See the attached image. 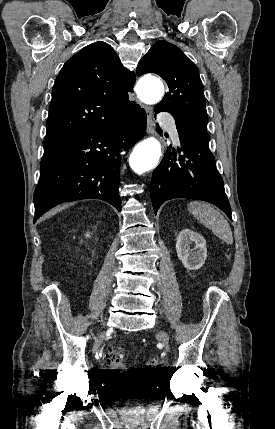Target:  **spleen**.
<instances>
[{
	"mask_svg": "<svg viewBox=\"0 0 275 429\" xmlns=\"http://www.w3.org/2000/svg\"><path fill=\"white\" fill-rule=\"evenodd\" d=\"M187 208L195 218L209 228L218 238L227 244L233 243V235L229 223L213 206L193 201L188 204Z\"/></svg>",
	"mask_w": 275,
	"mask_h": 429,
	"instance_id": "1",
	"label": "spleen"
}]
</instances>
